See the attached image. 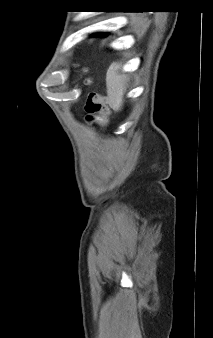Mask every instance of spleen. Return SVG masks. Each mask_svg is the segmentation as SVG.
I'll return each instance as SVG.
<instances>
[{
	"mask_svg": "<svg viewBox=\"0 0 213 338\" xmlns=\"http://www.w3.org/2000/svg\"><path fill=\"white\" fill-rule=\"evenodd\" d=\"M120 70V64L118 62H114L110 65L106 75L109 104L115 111H119L121 109L126 90L125 75L122 74Z\"/></svg>",
	"mask_w": 213,
	"mask_h": 338,
	"instance_id": "obj_1",
	"label": "spleen"
}]
</instances>
